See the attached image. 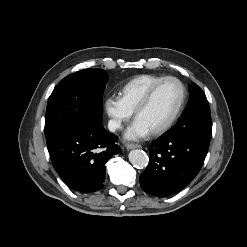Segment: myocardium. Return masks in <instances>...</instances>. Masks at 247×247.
<instances>
[{
  "label": "myocardium",
  "mask_w": 247,
  "mask_h": 247,
  "mask_svg": "<svg viewBox=\"0 0 247 247\" xmlns=\"http://www.w3.org/2000/svg\"><path fill=\"white\" fill-rule=\"evenodd\" d=\"M167 82H175L179 85L181 89V98L178 107L171 116V118L164 125L151 132V134L154 136L162 135L165 132H167L180 117L187 99V89L184 83L180 79L172 76L163 78L148 90V92L145 94L143 99L140 101V103L137 105V107L134 110V117L137 118L139 113H141L144 109H146L148 105L151 103L153 97L155 96L159 88Z\"/></svg>",
  "instance_id": "obj_1"
}]
</instances>
